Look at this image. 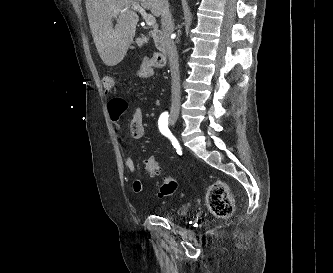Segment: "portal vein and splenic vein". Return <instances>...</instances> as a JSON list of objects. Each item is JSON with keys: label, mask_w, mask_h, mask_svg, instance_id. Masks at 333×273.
Masks as SVG:
<instances>
[{"label": "portal vein and splenic vein", "mask_w": 333, "mask_h": 273, "mask_svg": "<svg viewBox=\"0 0 333 273\" xmlns=\"http://www.w3.org/2000/svg\"><path fill=\"white\" fill-rule=\"evenodd\" d=\"M131 8H133L136 11H138L143 16V18H144V20H145V22H146L147 25H149V26L155 25V23H156L155 17L153 15L147 14L145 12L144 8L141 7L138 3H132L131 4ZM120 11H121L120 8H116L114 10V13L116 14V13H118Z\"/></svg>", "instance_id": "obj_1"}]
</instances>
